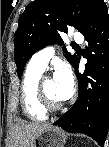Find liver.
Instances as JSON below:
<instances>
[{
    "instance_id": "obj_1",
    "label": "liver",
    "mask_w": 109,
    "mask_h": 147,
    "mask_svg": "<svg viewBox=\"0 0 109 147\" xmlns=\"http://www.w3.org/2000/svg\"><path fill=\"white\" fill-rule=\"evenodd\" d=\"M52 127L51 124L19 121L12 127L8 147H34L37 137Z\"/></svg>"
}]
</instances>
